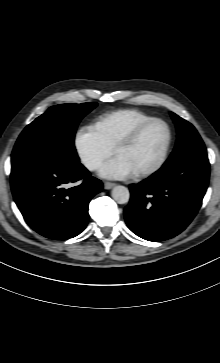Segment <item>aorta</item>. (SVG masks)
I'll use <instances>...</instances> for the list:
<instances>
[{
	"mask_svg": "<svg viewBox=\"0 0 220 363\" xmlns=\"http://www.w3.org/2000/svg\"><path fill=\"white\" fill-rule=\"evenodd\" d=\"M111 195L118 204H125L129 201L130 198V192L128 188L121 185L114 187Z\"/></svg>",
	"mask_w": 220,
	"mask_h": 363,
	"instance_id": "1",
	"label": "aorta"
}]
</instances>
